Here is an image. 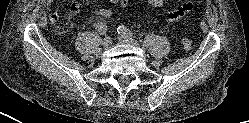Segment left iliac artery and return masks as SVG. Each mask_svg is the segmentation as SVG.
<instances>
[{"label":"left iliac artery","instance_id":"obj_1","mask_svg":"<svg viewBox=\"0 0 249 123\" xmlns=\"http://www.w3.org/2000/svg\"><path fill=\"white\" fill-rule=\"evenodd\" d=\"M117 30H118V33H122V34H124L126 36H129V37L134 36L133 33L127 27H125L124 25H120Z\"/></svg>","mask_w":249,"mask_h":123}]
</instances>
